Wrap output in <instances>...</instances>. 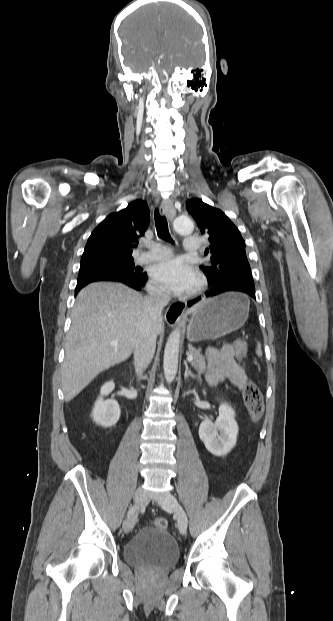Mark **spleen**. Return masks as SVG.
Instances as JSON below:
<instances>
[{
  "label": "spleen",
  "mask_w": 333,
  "mask_h": 621,
  "mask_svg": "<svg viewBox=\"0 0 333 621\" xmlns=\"http://www.w3.org/2000/svg\"><path fill=\"white\" fill-rule=\"evenodd\" d=\"M256 354H257L259 357H261V356H262V350H261V347H260V345H259V344L257 345V348H256Z\"/></svg>",
  "instance_id": "obj_1"
}]
</instances>
